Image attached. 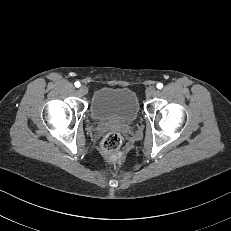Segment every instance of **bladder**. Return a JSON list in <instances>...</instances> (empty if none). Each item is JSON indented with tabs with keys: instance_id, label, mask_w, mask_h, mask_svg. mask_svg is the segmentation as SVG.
Masks as SVG:
<instances>
[{
	"instance_id": "31cf9c89",
	"label": "bladder",
	"mask_w": 231,
	"mask_h": 231,
	"mask_svg": "<svg viewBox=\"0 0 231 231\" xmlns=\"http://www.w3.org/2000/svg\"><path fill=\"white\" fill-rule=\"evenodd\" d=\"M138 114L137 96L129 88L103 87L92 96L90 115L97 122L131 123Z\"/></svg>"
}]
</instances>
